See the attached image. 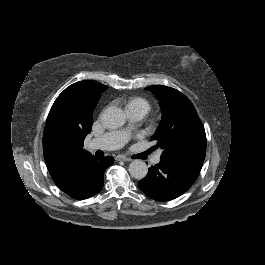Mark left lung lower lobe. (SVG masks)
Returning <instances> with one entry per match:
<instances>
[{"label":"left lung lower lobe","instance_id":"left-lung-lower-lobe-1","mask_svg":"<svg viewBox=\"0 0 265 265\" xmlns=\"http://www.w3.org/2000/svg\"><path fill=\"white\" fill-rule=\"evenodd\" d=\"M203 162L161 159L139 181L143 193L158 201L173 200L185 193L197 179Z\"/></svg>","mask_w":265,"mask_h":265}]
</instances>
